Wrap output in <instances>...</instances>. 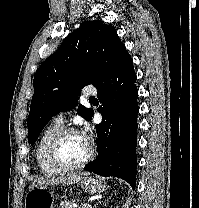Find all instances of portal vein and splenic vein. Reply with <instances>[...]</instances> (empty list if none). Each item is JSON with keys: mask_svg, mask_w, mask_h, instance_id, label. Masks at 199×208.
I'll use <instances>...</instances> for the list:
<instances>
[{"mask_svg": "<svg viewBox=\"0 0 199 208\" xmlns=\"http://www.w3.org/2000/svg\"><path fill=\"white\" fill-rule=\"evenodd\" d=\"M79 208H89L90 207V205L89 204H84V205H80V206H78Z\"/></svg>", "mask_w": 199, "mask_h": 208, "instance_id": "18ae733b", "label": "portal vein and splenic vein"}]
</instances>
